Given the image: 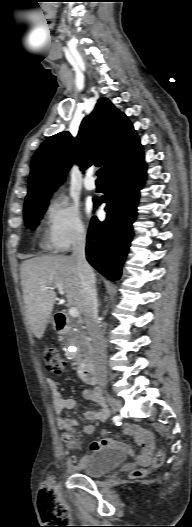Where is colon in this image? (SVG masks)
<instances>
[{
    "instance_id": "colon-1",
    "label": "colon",
    "mask_w": 192,
    "mask_h": 527,
    "mask_svg": "<svg viewBox=\"0 0 192 527\" xmlns=\"http://www.w3.org/2000/svg\"><path fill=\"white\" fill-rule=\"evenodd\" d=\"M44 359L46 362L47 369L53 373L60 374L66 368L65 360L61 356L59 350L55 347H48L47 349H45ZM64 441L70 447H74V448L80 447L79 440L72 433L66 434L64 436ZM162 461H163V454L162 452H159L154 459V464L156 466H159L162 463ZM140 474H141L140 472H136V475H140ZM40 499L43 504V511L45 513L47 512L48 503H56V499L53 493L50 480L45 481L44 484L42 485V488L40 490ZM60 509H62L64 512L66 511L65 508L63 507H60Z\"/></svg>"
}]
</instances>
